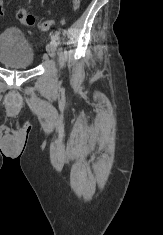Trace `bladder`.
I'll return each mask as SVG.
<instances>
[{"label": "bladder", "mask_w": 163, "mask_h": 235, "mask_svg": "<svg viewBox=\"0 0 163 235\" xmlns=\"http://www.w3.org/2000/svg\"><path fill=\"white\" fill-rule=\"evenodd\" d=\"M35 61V52L17 27H8L0 33V62L12 69H29Z\"/></svg>", "instance_id": "31cf9c89"}]
</instances>
